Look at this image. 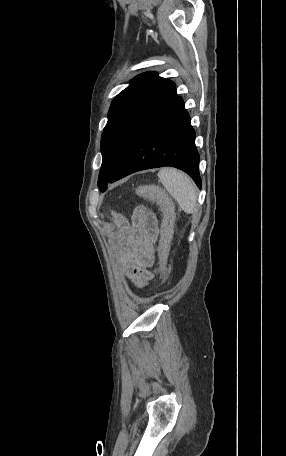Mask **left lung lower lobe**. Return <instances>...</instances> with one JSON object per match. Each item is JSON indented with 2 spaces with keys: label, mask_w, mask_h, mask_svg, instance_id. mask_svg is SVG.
Masks as SVG:
<instances>
[{
  "label": "left lung lower lobe",
  "mask_w": 286,
  "mask_h": 456,
  "mask_svg": "<svg viewBox=\"0 0 286 456\" xmlns=\"http://www.w3.org/2000/svg\"><path fill=\"white\" fill-rule=\"evenodd\" d=\"M195 131L181 97H176L136 137L110 182L131 173L172 166L189 174L201 188Z\"/></svg>",
  "instance_id": "left-lung-lower-lobe-1"
}]
</instances>
